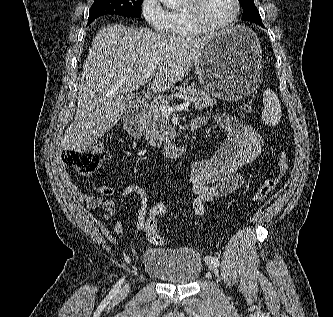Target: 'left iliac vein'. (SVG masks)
Listing matches in <instances>:
<instances>
[{
	"label": "left iliac vein",
	"mask_w": 333,
	"mask_h": 317,
	"mask_svg": "<svg viewBox=\"0 0 333 317\" xmlns=\"http://www.w3.org/2000/svg\"><path fill=\"white\" fill-rule=\"evenodd\" d=\"M209 269L217 277V280H220L217 265L213 264V263H209Z\"/></svg>",
	"instance_id": "left-iliac-vein-1"
}]
</instances>
